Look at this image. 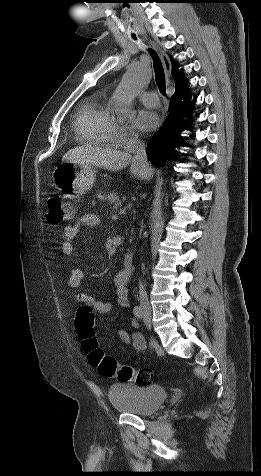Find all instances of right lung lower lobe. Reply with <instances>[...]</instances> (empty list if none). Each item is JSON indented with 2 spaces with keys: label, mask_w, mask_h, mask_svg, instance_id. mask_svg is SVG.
I'll use <instances>...</instances> for the list:
<instances>
[{
  "label": "right lung lower lobe",
  "mask_w": 261,
  "mask_h": 476,
  "mask_svg": "<svg viewBox=\"0 0 261 476\" xmlns=\"http://www.w3.org/2000/svg\"><path fill=\"white\" fill-rule=\"evenodd\" d=\"M189 98L188 90L183 82L175 87L167 120L155 133L146 149L153 164L161 165L170 155L171 150L181 143V132L188 130L187 120L182 118L191 116L194 104L189 102Z\"/></svg>",
  "instance_id": "obj_1"
}]
</instances>
